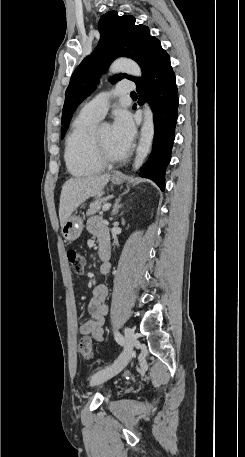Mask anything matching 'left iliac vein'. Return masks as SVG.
Masks as SVG:
<instances>
[{"label": "left iliac vein", "instance_id": "obj_1", "mask_svg": "<svg viewBox=\"0 0 245 457\" xmlns=\"http://www.w3.org/2000/svg\"><path fill=\"white\" fill-rule=\"evenodd\" d=\"M134 330L128 327H125V343L124 349L120 356L114 361V363L92 375L91 381L93 385H99L110 378L116 376L120 373L125 366L128 364L131 359L133 346H134Z\"/></svg>", "mask_w": 245, "mask_h": 457}]
</instances>
